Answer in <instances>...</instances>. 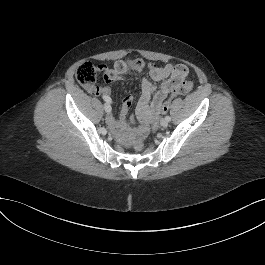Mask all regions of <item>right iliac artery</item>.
Masks as SVG:
<instances>
[{"label": "right iliac artery", "instance_id": "obj_1", "mask_svg": "<svg viewBox=\"0 0 265 265\" xmlns=\"http://www.w3.org/2000/svg\"><path fill=\"white\" fill-rule=\"evenodd\" d=\"M103 99L107 102V103H111V99L109 97H105L103 96Z\"/></svg>", "mask_w": 265, "mask_h": 265}]
</instances>
